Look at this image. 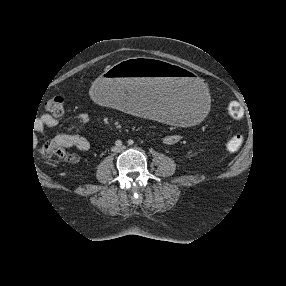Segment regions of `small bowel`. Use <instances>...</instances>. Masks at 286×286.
Here are the masks:
<instances>
[{
  "mask_svg": "<svg viewBox=\"0 0 286 286\" xmlns=\"http://www.w3.org/2000/svg\"><path fill=\"white\" fill-rule=\"evenodd\" d=\"M79 120L86 122L89 120L87 115H80ZM57 124V119L51 115H43L40 120V124L37 127V131L42 133L44 132L46 127H53ZM180 137L177 134H169L167 135L163 142L165 145H174L179 141ZM56 142L64 147H74L81 151H88L90 149V142L83 136L80 135H69L62 134L55 137ZM70 160H76L75 156H71Z\"/></svg>",
  "mask_w": 286,
  "mask_h": 286,
  "instance_id": "small-bowel-1",
  "label": "small bowel"
}]
</instances>
